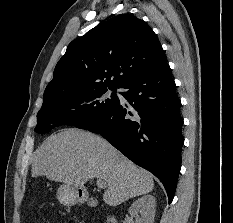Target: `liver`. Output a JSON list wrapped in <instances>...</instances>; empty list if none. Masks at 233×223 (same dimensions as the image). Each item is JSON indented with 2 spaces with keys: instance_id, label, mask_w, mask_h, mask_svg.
Listing matches in <instances>:
<instances>
[{
  "instance_id": "obj_1",
  "label": "liver",
  "mask_w": 233,
  "mask_h": 223,
  "mask_svg": "<svg viewBox=\"0 0 233 223\" xmlns=\"http://www.w3.org/2000/svg\"><path fill=\"white\" fill-rule=\"evenodd\" d=\"M39 175L75 187H84L93 177L105 179L107 189L102 199L113 207L154 189L149 171L135 165L100 135L77 127L52 133L34 151L31 177Z\"/></svg>"
}]
</instances>
